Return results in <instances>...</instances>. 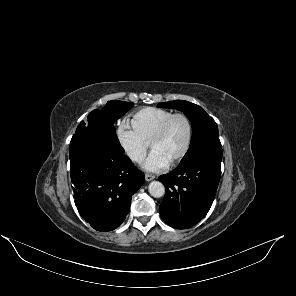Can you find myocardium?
<instances>
[{
    "label": "myocardium",
    "mask_w": 296,
    "mask_h": 296,
    "mask_svg": "<svg viewBox=\"0 0 296 296\" xmlns=\"http://www.w3.org/2000/svg\"><path fill=\"white\" fill-rule=\"evenodd\" d=\"M179 117L183 118L185 120V122L187 124V128H188V135H187V141L184 146V149L178 155V157L170 163L171 166H175V165L179 164L186 157V155L188 154V152L191 148L192 140H193V124H192L190 117L186 113H183V112L173 113L172 115H170L162 123V125L158 129L157 133L155 134V136L150 144L151 149L153 150L154 146L164 138L172 121L176 118H179Z\"/></svg>",
    "instance_id": "myocardium-1"
}]
</instances>
